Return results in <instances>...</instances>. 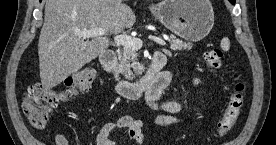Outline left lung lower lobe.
<instances>
[{
  "instance_id": "0a47b994",
  "label": "left lung lower lobe",
  "mask_w": 276,
  "mask_h": 145,
  "mask_svg": "<svg viewBox=\"0 0 276 145\" xmlns=\"http://www.w3.org/2000/svg\"><path fill=\"white\" fill-rule=\"evenodd\" d=\"M229 1H230L231 4L234 5L236 0H229Z\"/></svg>"
}]
</instances>
